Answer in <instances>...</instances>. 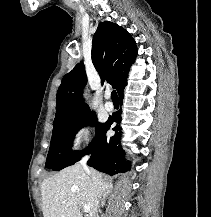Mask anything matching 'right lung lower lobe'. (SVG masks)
Returning <instances> with one entry per match:
<instances>
[{"label":"right lung lower lobe","instance_id":"98d812e1","mask_svg":"<svg viewBox=\"0 0 211 217\" xmlns=\"http://www.w3.org/2000/svg\"><path fill=\"white\" fill-rule=\"evenodd\" d=\"M120 100L123 99V90L119 93ZM121 111L116 112L105 122L102 137L94 149L91 151V157L88 165L98 171L114 175L119 172L124 173L130 169V162L123 158L124 151L120 144V125L113 127L115 135L107 138L106 132L115 122L119 123Z\"/></svg>","mask_w":211,"mask_h":217}]
</instances>
